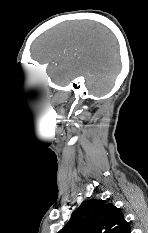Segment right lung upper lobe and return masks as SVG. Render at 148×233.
Listing matches in <instances>:
<instances>
[{"label": "right lung upper lobe", "instance_id": "obj_1", "mask_svg": "<svg viewBox=\"0 0 148 233\" xmlns=\"http://www.w3.org/2000/svg\"><path fill=\"white\" fill-rule=\"evenodd\" d=\"M58 233H130L121 210L105 200L90 199L76 209Z\"/></svg>", "mask_w": 148, "mask_h": 233}]
</instances>
